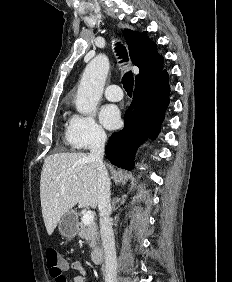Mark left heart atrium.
I'll return each mask as SVG.
<instances>
[{
    "instance_id": "1",
    "label": "left heart atrium",
    "mask_w": 232,
    "mask_h": 282,
    "mask_svg": "<svg viewBox=\"0 0 232 282\" xmlns=\"http://www.w3.org/2000/svg\"><path fill=\"white\" fill-rule=\"evenodd\" d=\"M99 116L101 123L108 129H114L120 124V112L114 105L102 107Z\"/></svg>"
}]
</instances>
